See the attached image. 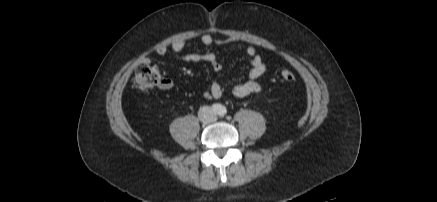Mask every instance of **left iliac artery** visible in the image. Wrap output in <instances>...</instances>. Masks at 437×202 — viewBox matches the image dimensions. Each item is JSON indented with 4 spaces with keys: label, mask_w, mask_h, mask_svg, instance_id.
<instances>
[{
    "label": "left iliac artery",
    "mask_w": 437,
    "mask_h": 202,
    "mask_svg": "<svg viewBox=\"0 0 437 202\" xmlns=\"http://www.w3.org/2000/svg\"><path fill=\"white\" fill-rule=\"evenodd\" d=\"M226 112H227L226 108L225 107H221L220 111H219V115L220 116H224L226 114Z\"/></svg>",
    "instance_id": "1"
}]
</instances>
